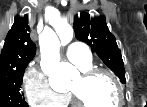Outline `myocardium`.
Listing matches in <instances>:
<instances>
[{
	"mask_svg": "<svg viewBox=\"0 0 147 107\" xmlns=\"http://www.w3.org/2000/svg\"><path fill=\"white\" fill-rule=\"evenodd\" d=\"M98 75H105L112 81L117 91V102L114 107L121 106L123 104V88L120 81L114 73L107 69L92 67L83 70L81 77L84 81H89ZM70 94L72 96L73 103L76 107H89L82 101L80 96L75 91H71Z\"/></svg>",
	"mask_w": 147,
	"mask_h": 107,
	"instance_id": "obj_1",
	"label": "myocardium"
}]
</instances>
